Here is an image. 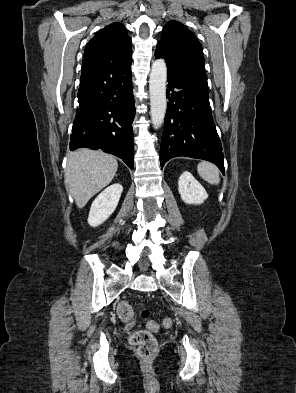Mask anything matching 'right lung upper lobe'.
I'll return each instance as SVG.
<instances>
[{
  "instance_id": "obj_1",
  "label": "right lung upper lobe",
  "mask_w": 296,
  "mask_h": 393,
  "mask_svg": "<svg viewBox=\"0 0 296 393\" xmlns=\"http://www.w3.org/2000/svg\"><path fill=\"white\" fill-rule=\"evenodd\" d=\"M132 41L119 22L99 30L87 43L83 62H122L131 59Z\"/></svg>"
}]
</instances>
